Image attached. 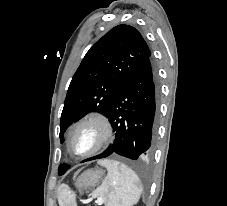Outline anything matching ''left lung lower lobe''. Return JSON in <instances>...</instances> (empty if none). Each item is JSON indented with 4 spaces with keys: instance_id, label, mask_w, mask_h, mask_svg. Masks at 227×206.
I'll return each mask as SVG.
<instances>
[{
    "instance_id": "0a47b994",
    "label": "left lung lower lobe",
    "mask_w": 227,
    "mask_h": 206,
    "mask_svg": "<svg viewBox=\"0 0 227 206\" xmlns=\"http://www.w3.org/2000/svg\"><path fill=\"white\" fill-rule=\"evenodd\" d=\"M158 98L159 88L149 58L126 79L112 102L107 117L116 132L114 143L81 163L115 153L133 160L149 156L156 137Z\"/></svg>"
}]
</instances>
